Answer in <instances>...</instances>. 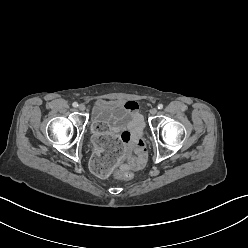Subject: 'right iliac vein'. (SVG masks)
Masks as SVG:
<instances>
[{"mask_svg": "<svg viewBox=\"0 0 248 248\" xmlns=\"http://www.w3.org/2000/svg\"><path fill=\"white\" fill-rule=\"evenodd\" d=\"M78 108L80 111H85V109H86L84 104H80Z\"/></svg>", "mask_w": 248, "mask_h": 248, "instance_id": "1", "label": "right iliac vein"}]
</instances>
